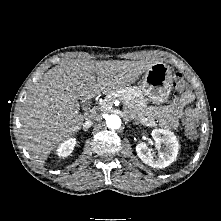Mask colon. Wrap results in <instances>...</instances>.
Returning a JSON list of instances; mask_svg holds the SVG:
<instances>
[{"mask_svg":"<svg viewBox=\"0 0 221 221\" xmlns=\"http://www.w3.org/2000/svg\"><path fill=\"white\" fill-rule=\"evenodd\" d=\"M174 87L183 92L184 94L189 93V86L184 80L181 73H176L174 76ZM183 129L186 135L190 138H195L197 136L196 130V120L193 116H185L182 120Z\"/></svg>","mask_w":221,"mask_h":221,"instance_id":"colon-1","label":"colon"}]
</instances>
